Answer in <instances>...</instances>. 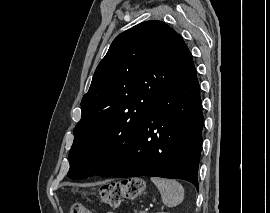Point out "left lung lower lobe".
Masks as SVG:
<instances>
[{"label":"left lung lower lobe","mask_w":270,"mask_h":213,"mask_svg":"<svg viewBox=\"0 0 270 213\" xmlns=\"http://www.w3.org/2000/svg\"><path fill=\"white\" fill-rule=\"evenodd\" d=\"M203 113L194 64L179 73L152 112L90 175L184 179L198 188Z\"/></svg>","instance_id":"0a47b994"}]
</instances>
